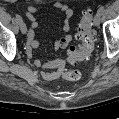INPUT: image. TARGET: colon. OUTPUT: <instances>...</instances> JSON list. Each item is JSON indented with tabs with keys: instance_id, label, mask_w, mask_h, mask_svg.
<instances>
[{
	"instance_id": "colon-1",
	"label": "colon",
	"mask_w": 119,
	"mask_h": 119,
	"mask_svg": "<svg viewBox=\"0 0 119 119\" xmlns=\"http://www.w3.org/2000/svg\"><path fill=\"white\" fill-rule=\"evenodd\" d=\"M92 14L91 9L83 12L76 35L80 44L76 47H70L68 52V62L70 64L76 65L79 62L87 60L94 48ZM61 76L65 80L76 81L81 78V73L78 70L63 71Z\"/></svg>"
}]
</instances>
